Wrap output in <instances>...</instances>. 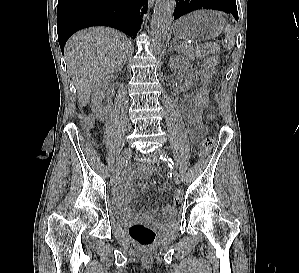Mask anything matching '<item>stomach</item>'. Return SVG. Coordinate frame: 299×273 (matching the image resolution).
Masks as SVG:
<instances>
[{
  "instance_id": "obj_1",
  "label": "stomach",
  "mask_w": 299,
  "mask_h": 273,
  "mask_svg": "<svg viewBox=\"0 0 299 273\" xmlns=\"http://www.w3.org/2000/svg\"><path fill=\"white\" fill-rule=\"evenodd\" d=\"M224 26L225 21L217 12L202 10L180 18L174 33L179 38L200 42L219 35Z\"/></svg>"
}]
</instances>
